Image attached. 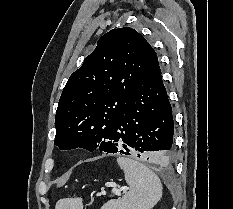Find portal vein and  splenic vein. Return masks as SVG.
Instances as JSON below:
<instances>
[{"instance_id":"1","label":"portal vein and splenic vein","mask_w":233,"mask_h":209,"mask_svg":"<svg viewBox=\"0 0 233 209\" xmlns=\"http://www.w3.org/2000/svg\"><path fill=\"white\" fill-rule=\"evenodd\" d=\"M122 190H123L124 192H126V191L128 190V188L118 189V188L114 187V188L112 189V192H113L115 195L120 196Z\"/></svg>"}]
</instances>
